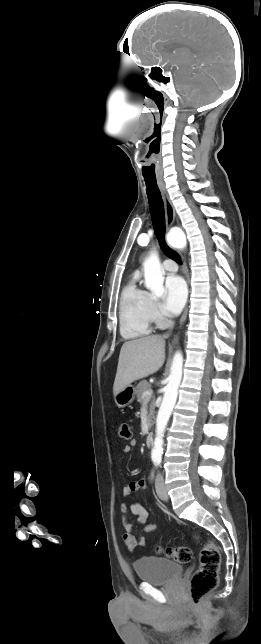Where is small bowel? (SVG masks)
I'll use <instances>...</instances> for the list:
<instances>
[{
	"label": "small bowel",
	"instance_id": "small-bowel-1",
	"mask_svg": "<svg viewBox=\"0 0 261 644\" xmlns=\"http://www.w3.org/2000/svg\"><path fill=\"white\" fill-rule=\"evenodd\" d=\"M135 444L136 442L132 441L130 445H126L123 449L124 453L125 454L130 453L132 450V447L135 446ZM145 488H146V481L144 479L134 480L129 482L126 486H124L122 494L123 496L127 497L136 492L142 491ZM120 511L124 515L129 511L134 517H136V520L139 524L144 525V531L147 533H152L158 529V526L156 524L147 523L149 514L145 509V507H143L141 504L135 503V504H132L129 508L125 504H122L120 506ZM123 529L125 531L123 539L125 544L130 550H135L139 546L146 545L145 537L135 536L133 534L134 524L128 521L126 517H124V520H123Z\"/></svg>",
	"mask_w": 261,
	"mask_h": 644
}]
</instances>
